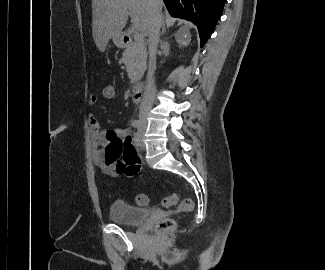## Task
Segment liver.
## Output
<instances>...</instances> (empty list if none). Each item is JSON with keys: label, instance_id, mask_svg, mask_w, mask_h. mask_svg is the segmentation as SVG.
<instances>
[{"label": "liver", "instance_id": "liver-1", "mask_svg": "<svg viewBox=\"0 0 325 270\" xmlns=\"http://www.w3.org/2000/svg\"><path fill=\"white\" fill-rule=\"evenodd\" d=\"M128 15L132 28L148 36L149 0H92V35L99 51L104 52L109 39L122 33Z\"/></svg>", "mask_w": 325, "mask_h": 270}]
</instances>
